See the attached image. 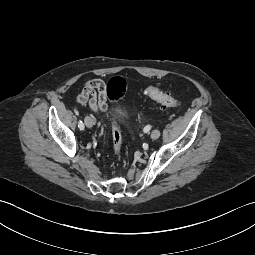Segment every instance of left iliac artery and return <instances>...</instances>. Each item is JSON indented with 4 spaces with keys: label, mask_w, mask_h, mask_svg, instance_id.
Masks as SVG:
<instances>
[{
    "label": "left iliac artery",
    "mask_w": 255,
    "mask_h": 255,
    "mask_svg": "<svg viewBox=\"0 0 255 255\" xmlns=\"http://www.w3.org/2000/svg\"><path fill=\"white\" fill-rule=\"evenodd\" d=\"M151 129H152V126L151 125H147V126L144 127L143 132L147 133Z\"/></svg>",
    "instance_id": "1"
}]
</instances>
